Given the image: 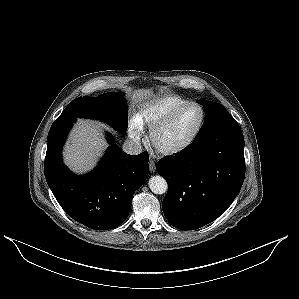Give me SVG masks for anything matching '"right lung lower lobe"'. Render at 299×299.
Returning a JSON list of instances; mask_svg holds the SVG:
<instances>
[{"label":"right lung lower lobe","instance_id":"obj_1","mask_svg":"<svg viewBox=\"0 0 299 299\" xmlns=\"http://www.w3.org/2000/svg\"><path fill=\"white\" fill-rule=\"evenodd\" d=\"M75 117L57 118L49 131L44 163L46 181L63 210L93 230H108L127 218L134 192L148 175L147 153L128 155L111 145L98 166L77 176L62 162L61 151ZM112 144V136H108Z\"/></svg>","mask_w":299,"mask_h":299}]
</instances>
